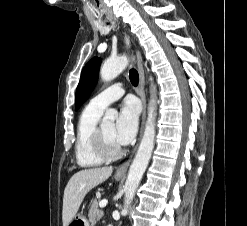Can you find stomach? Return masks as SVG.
<instances>
[{
  "label": "stomach",
  "mask_w": 247,
  "mask_h": 226,
  "mask_svg": "<svg viewBox=\"0 0 247 226\" xmlns=\"http://www.w3.org/2000/svg\"><path fill=\"white\" fill-rule=\"evenodd\" d=\"M116 180H120L121 177L115 176ZM67 226H90L89 221L83 215L75 216Z\"/></svg>",
  "instance_id": "obj_1"
}]
</instances>
